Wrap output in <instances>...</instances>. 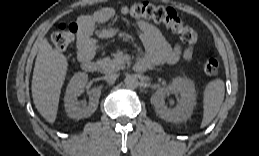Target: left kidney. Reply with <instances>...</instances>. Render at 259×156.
<instances>
[{"instance_id": "1", "label": "left kidney", "mask_w": 259, "mask_h": 156, "mask_svg": "<svg viewBox=\"0 0 259 156\" xmlns=\"http://www.w3.org/2000/svg\"><path fill=\"white\" fill-rule=\"evenodd\" d=\"M169 93L180 95L179 103L174 108H168L165 105V97ZM151 103L155 107V112L162 119L174 123L186 121L191 117L196 104L194 82L188 78L176 77L166 88L157 90L151 96Z\"/></svg>"}]
</instances>
